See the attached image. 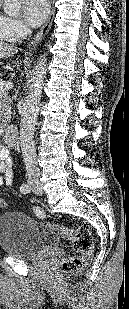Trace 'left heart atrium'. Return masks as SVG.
I'll return each instance as SVG.
<instances>
[{
  "instance_id": "1",
  "label": "left heart atrium",
  "mask_w": 129,
  "mask_h": 309,
  "mask_svg": "<svg viewBox=\"0 0 129 309\" xmlns=\"http://www.w3.org/2000/svg\"><path fill=\"white\" fill-rule=\"evenodd\" d=\"M50 10L49 0H25L23 14L27 23L37 27L46 19Z\"/></svg>"
}]
</instances>
